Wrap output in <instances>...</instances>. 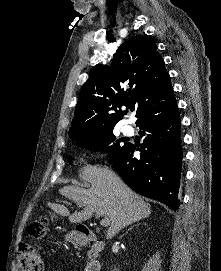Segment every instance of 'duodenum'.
<instances>
[{
    "mask_svg": "<svg viewBox=\"0 0 221 271\" xmlns=\"http://www.w3.org/2000/svg\"><path fill=\"white\" fill-rule=\"evenodd\" d=\"M71 243L77 246L91 244L93 257L87 263L84 271H101V262L98 259V253L103 249L104 242L97 238L91 230H79L71 236Z\"/></svg>",
    "mask_w": 221,
    "mask_h": 271,
    "instance_id": "obj_1",
    "label": "duodenum"
}]
</instances>
